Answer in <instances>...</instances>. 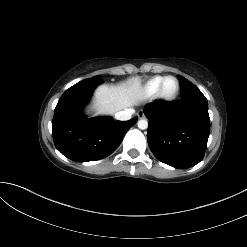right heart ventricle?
<instances>
[{"label": "right heart ventricle", "mask_w": 247, "mask_h": 247, "mask_svg": "<svg viewBox=\"0 0 247 247\" xmlns=\"http://www.w3.org/2000/svg\"><path fill=\"white\" fill-rule=\"evenodd\" d=\"M164 78L162 76H155L149 79L141 89L142 95L147 98L156 95Z\"/></svg>", "instance_id": "obj_1"}]
</instances>
